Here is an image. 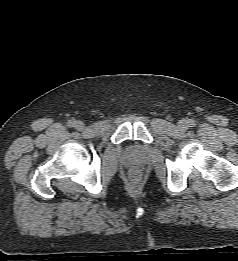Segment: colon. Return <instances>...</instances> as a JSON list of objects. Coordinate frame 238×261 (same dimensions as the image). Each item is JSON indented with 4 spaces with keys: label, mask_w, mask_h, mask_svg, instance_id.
<instances>
[{
    "label": "colon",
    "mask_w": 238,
    "mask_h": 261,
    "mask_svg": "<svg viewBox=\"0 0 238 261\" xmlns=\"http://www.w3.org/2000/svg\"><path fill=\"white\" fill-rule=\"evenodd\" d=\"M137 177H138V174H137V173H133L132 178H133L134 180H136Z\"/></svg>",
    "instance_id": "obj_1"
}]
</instances>
